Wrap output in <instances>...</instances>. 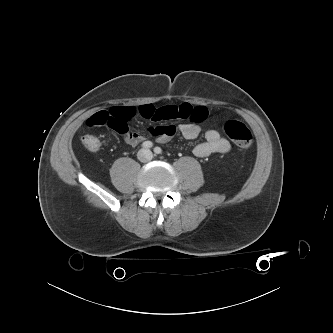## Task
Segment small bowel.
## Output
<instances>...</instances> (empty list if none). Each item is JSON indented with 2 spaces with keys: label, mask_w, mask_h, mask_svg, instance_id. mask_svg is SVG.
Masks as SVG:
<instances>
[{
  "label": "small bowel",
  "mask_w": 333,
  "mask_h": 333,
  "mask_svg": "<svg viewBox=\"0 0 333 333\" xmlns=\"http://www.w3.org/2000/svg\"><path fill=\"white\" fill-rule=\"evenodd\" d=\"M130 108L113 107L109 110H102L91 115L87 120L90 127L101 126L99 115L106 113L110 116L111 122L108 124L112 129L124 135L125 142L130 146H136L145 140L140 133L130 131L125 121V111ZM134 109V108H132ZM135 110V109H134ZM139 114L153 122L158 123L148 129L149 133L156 138L159 143H168L179 131L185 139H196L201 132L200 124L208 117V110L204 106H193L189 103L180 105L155 108L152 105H143L138 108ZM183 119L187 122L175 126L165 123L172 120ZM231 149V144L217 130L210 129L205 133L204 141L198 143L193 153L199 158L208 157L211 154H225Z\"/></svg>",
  "instance_id": "1"
}]
</instances>
